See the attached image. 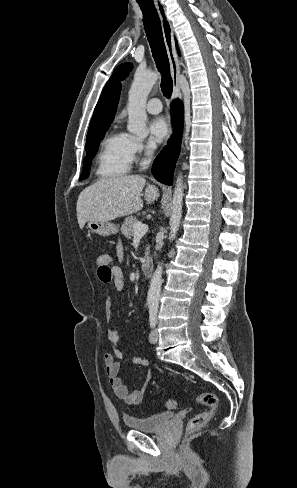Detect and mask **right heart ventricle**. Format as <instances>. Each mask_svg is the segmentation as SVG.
<instances>
[{
    "instance_id": "obj_1",
    "label": "right heart ventricle",
    "mask_w": 297,
    "mask_h": 488,
    "mask_svg": "<svg viewBox=\"0 0 297 488\" xmlns=\"http://www.w3.org/2000/svg\"><path fill=\"white\" fill-rule=\"evenodd\" d=\"M128 135L109 133L100 145L96 162V174L102 178H115L125 174L131 165L127 148Z\"/></svg>"
}]
</instances>
